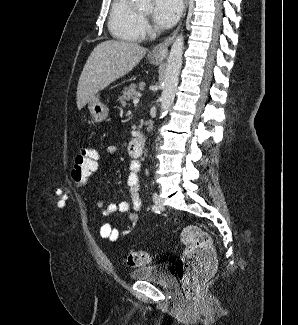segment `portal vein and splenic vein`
<instances>
[{"label": "portal vein and splenic vein", "mask_w": 298, "mask_h": 325, "mask_svg": "<svg viewBox=\"0 0 298 325\" xmlns=\"http://www.w3.org/2000/svg\"><path fill=\"white\" fill-rule=\"evenodd\" d=\"M138 96H142V94H138ZM138 96H136V98H133V104H137V102H140V98H138Z\"/></svg>", "instance_id": "1"}]
</instances>
